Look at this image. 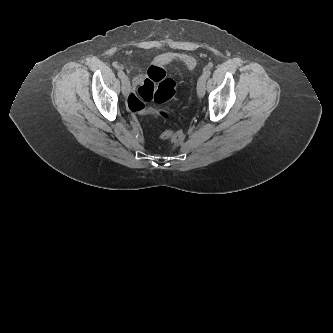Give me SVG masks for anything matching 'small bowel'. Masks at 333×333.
<instances>
[{"label":"small bowel","instance_id":"c3829d8e","mask_svg":"<svg viewBox=\"0 0 333 333\" xmlns=\"http://www.w3.org/2000/svg\"><path fill=\"white\" fill-rule=\"evenodd\" d=\"M172 61H182L190 67L195 65V59L188 55L179 53H164L156 57L155 64H150L146 68L145 78L141 76L135 79V85H143L147 80H149L150 82L154 81V83L156 82L157 84H164L168 80V72L164 68H162V66ZM154 83H152L153 86Z\"/></svg>","mask_w":333,"mask_h":333}]
</instances>
